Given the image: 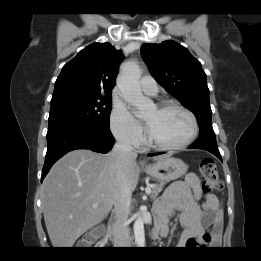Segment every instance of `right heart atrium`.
<instances>
[{
	"mask_svg": "<svg viewBox=\"0 0 261 261\" xmlns=\"http://www.w3.org/2000/svg\"><path fill=\"white\" fill-rule=\"evenodd\" d=\"M114 137L126 146L138 147L144 141V128L123 103H116L110 114Z\"/></svg>",
	"mask_w": 261,
	"mask_h": 261,
	"instance_id": "obj_1",
	"label": "right heart atrium"
}]
</instances>
